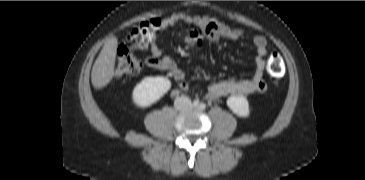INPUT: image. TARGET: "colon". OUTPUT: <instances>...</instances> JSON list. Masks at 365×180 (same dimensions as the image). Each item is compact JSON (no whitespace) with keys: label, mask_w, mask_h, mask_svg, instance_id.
Here are the masks:
<instances>
[{"label":"colon","mask_w":365,"mask_h":180,"mask_svg":"<svg viewBox=\"0 0 365 180\" xmlns=\"http://www.w3.org/2000/svg\"><path fill=\"white\" fill-rule=\"evenodd\" d=\"M160 29L158 19H149L135 26L127 34L124 43L118 48L115 73L119 76H129L139 73L142 68L141 61L134 51L144 48ZM267 69L271 76L278 78L284 73V62L278 52H272L267 59Z\"/></svg>","instance_id":"1"}]
</instances>
